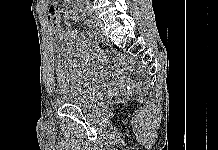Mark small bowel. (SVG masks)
Masks as SVG:
<instances>
[{
	"label": "small bowel",
	"instance_id": "c3829d8e",
	"mask_svg": "<svg viewBox=\"0 0 218 150\" xmlns=\"http://www.w3.org/2000/svg\"><path fill=\"white\" fill-rule=\"evenodd\" d=\"M64 4L71 8L70 11H65L63 8L52 4L47 9V21L49 23V28L51 35L54 39H64L66 32L60 26V15L62 13H72L75 16V21L77 20L78 13L82 11V4L80 0H64Z\"/></svg>",
	"mask_w": 218,
	"mask_h": 150
}]
</instances>
